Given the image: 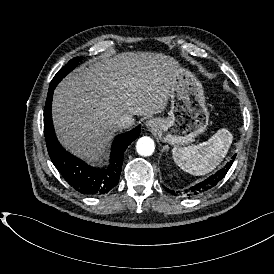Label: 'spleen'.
Listing matches in <instances>:
<instances>
[{
    "instance_id": "obj_1",
    "label": "spleen",
    "mask_w": 274,
    "mask_h": 274,
    "mask_svg": "<svg viewBox=\"0 0 274 274\" xmlns=\"http://www.w3.org/2000/svg\"><path fill=\"white\" fill-rule=\"evenodd\" d=\"M232 134L228 129L218 130L207 142L188 147H174L172 154L175 162L186 172L203 175L213 170L224 158Z\"/></svg>"
}]
</instances>
